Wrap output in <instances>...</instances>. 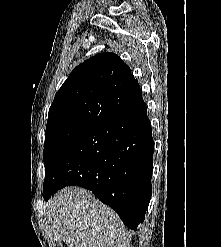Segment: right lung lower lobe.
<instances>
[{
	"label": "right lung lower lobe",
	"instance_id": "obj_1",
	"mask_svg": "<svg viewBox=\"0 0 221 247\" xmlns=\"http://www.w3.org/2000/svg\"><path fill=\"white\" fill-rule=\"evenodd\" d=\"M154 142L144 101L91 127L63 153L44 182L45 201L59 189H89L125 226L144 222L152 195Z\"/></svg>",
	"mask_w": 221,
	"mask_h": 247
}]
</instances>
